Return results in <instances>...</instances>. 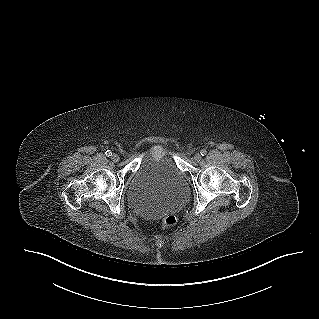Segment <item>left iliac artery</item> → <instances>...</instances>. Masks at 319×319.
Returning <instances> with one entry per match:
<instances>
[{"instance_id": "1", "label": "left iliac artery", "mask_w": 319, "mask_h": 319, "mask_svg": "<svg viewBox=\"0 0 319 319\" xmlns=\"http://www.w3.org/2000/svg\"><path fill=\"white\" fill-rule=\"evenodd\" d=\"M200 154H201L202 156H204V155L207 154V151H206L205 149H202V150L200 151Z\"/></svg>"}]
</instances>
